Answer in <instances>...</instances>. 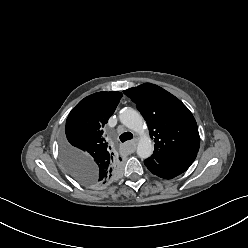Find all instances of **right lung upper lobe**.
<instances>
[{
    "mask_svg": "<svg viewBox=\"0 0 248 248\" xmlns=\"http://www.w3.org/2000/svg\"><path fill=\"white\" fill-rule=\"evenodd\" d=\"M121 92H97L85 97L70 112L65 132L68 142L62 147V160L81 163L92 177L89 186L99 187L117 177L122 160L111 151L103 128L115 111Z\"/></svg>",
    "mask_w": 248,
    "mask_h": 248,
    "instance_id": "right-lung-upper-lobe-1",
    "label": "right lung upper lobe"
}]
</instances>
